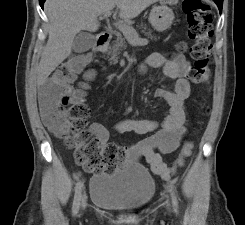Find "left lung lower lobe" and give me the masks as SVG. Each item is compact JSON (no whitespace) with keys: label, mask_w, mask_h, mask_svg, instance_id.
<instances>
[{"label":"left lung lower lobe","mask_w":245,"mask_h":225,"mask_svg":"<svg viewBox=\"0 0 245 225\" xmlns=\"http://www.w3.org/2000/svg\"><path fill=\"white\" fill-rule=\"evenodd\" d=\"M216 4H217V6H218V8H219V10H220V12H221V11H222V5H223V2H222V3L216 2Z\"/></svg>","instance_id":"0a47b994"}]
</instances>
